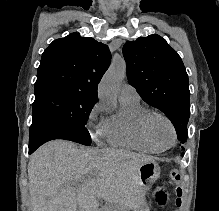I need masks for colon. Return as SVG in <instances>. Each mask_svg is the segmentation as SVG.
I'll use <instances>...</instances> for the list:
<instances>
[{
	"mask_svg": "<svg viewBox=\"0 0 219 211\" xmlns=\"http://www.w3.org/2000/svg\"><path fill=\"white\" fill-rule=\"evenodd\" d=\"M170 182L175 186L174 192L177 196L176 205H181L182 188L180 187L181 175L177 170L170 172Z\"/></svg>",
	"mask_w": 219,
	"mask_h": 211,
	"instance_id": "obj_1",
	"label": "colon"
}]
</instances>
